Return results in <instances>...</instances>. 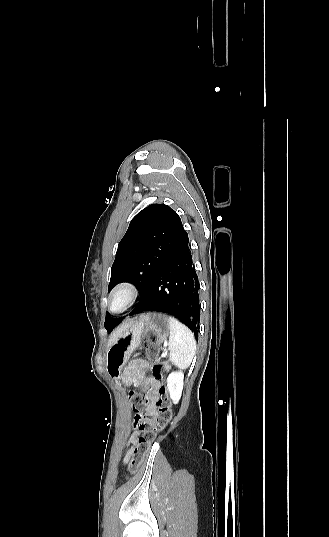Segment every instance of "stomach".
<instances>
[{
    "instance_id": "1",
    "label": "stomach",
    "mask_w": 329,
    "mask_h": 537,
    "mask_svg": "<svg viewBox=\"0 0 329 537\" xmlns=\"http://www.w3.org/2000/svg\"><path fill=\"white\" fill-rule=\"evenodd\" d=\"M149 333L158 342L165 341L170 334L169 317L161 313H146L132 322L107 350L106 369L110 377H120L131 353Z\"/></svg>"
}]
</instances>
